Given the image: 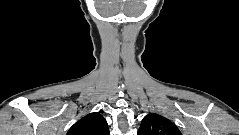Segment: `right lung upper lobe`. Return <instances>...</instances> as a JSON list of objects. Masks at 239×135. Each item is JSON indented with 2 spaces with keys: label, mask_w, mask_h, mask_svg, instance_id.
Here are the masks:
<instances>
[{
  "label": "right lung upper lobe",
  "mask_w": 239,
  "mask_h": 135,
  "mask_svg": "<svg viewBox=\"0 0 239 135\" xmlns=\"http://www.w3.org/2000/svg\"><path fill=\"white\" fill-rule=\"evenodd\" d=\"M67 135H110V132L105 118L94 112L76 122Z\"/></svg>",
  "instance_id": "1"
}]
</instances>
